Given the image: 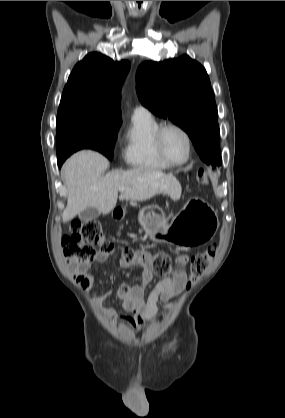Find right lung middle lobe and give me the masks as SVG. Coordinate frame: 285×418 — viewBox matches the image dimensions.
<instances>
[{"label": "right lung middle lobe", "instance_id": "right-lung-middle-lobe-1", "mask_svg": "<svg viewBox=\"0 0 285 418\" xmlns=\"http://www.w3.org/2000/svg\"><path fill=\"white\" fill-rule=\"evenodd\" d=\"M121 120L95 112L58 110L56 120L57 159H65L81 149H93L113 158Z\"/></svg>", "mask_w": 285, "mask_h": 418}]
</instances>
